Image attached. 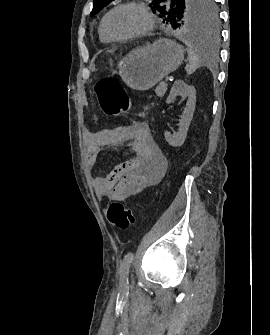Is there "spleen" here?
<instances>
[{
	"instance_id": "spleen-1",
	"label": "spleen",
	"mask_w": 270,
	"mask_h": 335,
	"mask_svg": "<svg viewBox=\"0 0 270 335\" xmlns=\"http://www.w3.org/2000/svg\"><path fill=\"white\" fill-rule=\"evenodd\" d=\"M180 40L188 46L187 52H188V60L190 64L186 66V72L187 74H193L197 68H199L200 64L202 62H211L212 56L209 54L206 46L203 48L202 42H194V44H191V42H188L186 38H183V36H180ZM206 50V52H204Z\"/></svg>"
}]
</instances>
